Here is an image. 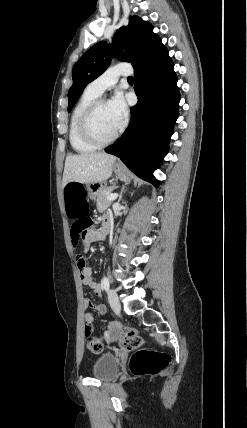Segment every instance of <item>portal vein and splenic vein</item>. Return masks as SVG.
Listing matches in <instances>:
<instances>
[{
    "instance_id": "portal-vein-and-splenic-vein-1",
    "label": "portal vein and splenic vein",
    "mask_w": 247,
    "mask_h": 428,
    "mask_svg": "<svg viewBox=\"0 0 247 428\" xmlns=\"http://www.w3.org/2000/svg\"><path fill=\"white\" fill-rule=\"evenodd\" d=\"M117 197H118V194H117V193H113V194H110V195L107 197V200H109V201H113V200L117 199Z\"/></svg>"
}]
</instances>
